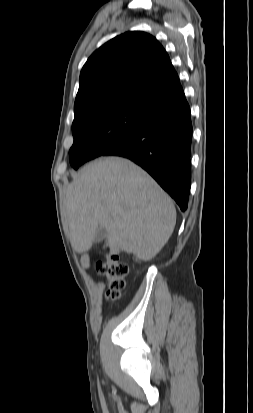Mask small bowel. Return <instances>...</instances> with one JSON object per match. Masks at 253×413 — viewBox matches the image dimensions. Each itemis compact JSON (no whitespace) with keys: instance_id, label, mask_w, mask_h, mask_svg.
<instances>
[{"instance_id":"obj_1","label":"small bowel","mask_w":253,"mask_h":413,"mask_svg":"<svg viewBox=\"0 0 253 413\" xmlns=\"http://www.w3.org/2000/svg\"><path fill=\"white\" fill-rule=\"evenodd\" d=\"M81 263L83 267L88 268L90 266V260L88 255H83L81 258Z\"/></svg>"}]
</instances>
